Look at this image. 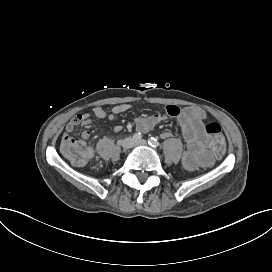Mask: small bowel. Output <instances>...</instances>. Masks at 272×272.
Returning <instances> with one entry per match:
<instances>
[{"instance_id": "obj_1", "label": "small bowel", "mask_w": 272, "mask_h": 272, "mask_svg": "<svg viewBox=\"0 0 272 272\" xmlns=\"http://www.w3.org/2000/svg\"><path fill=\"white\" fill-rule=\"evenodd\" d=\"M130 109L129 104H117L113 106L110 113H107L102 107L96 106L93 108V115L98 119H107L113 121L118 115L126 113ZM166 113L169 116L176 117L178 126L180 127L184 142L185 150L182 157L183 165L187 170L193 171L204 162L206 155V137L203 132V121L207 118L204 111L194 108L185 107L179 108L176 106H168ZM165 116L156 111L151 115L138 117L135 120L136 127L141 132H149L158 123L163 121ZM92 122L91 116L88 113H79L71 121L68 122L66 128L75 129L78 125L87 126ZM122 129L117 125L114 127V132L118 133ZM90 131L84 130L82 132V138L87 140L90 137ZM171 133L166 131L162 133L163 138L170 137Z\"/></svg>"}]
</instances>
